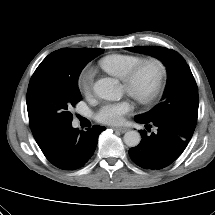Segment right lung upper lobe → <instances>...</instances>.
I'll use <instances>...</instances> for the list:
<instances>
[{"instance_id": "right-lung-upper-lobe-1", "label": "right lung upper lobe", "mask_w": 215, "mask_h": 215, "mask_svg": "<svg viewBox=\"0 0 215 215\" xmlns=\"http://www.w3.org/2000/svg\"><path fill=\"white\" fill-rule=\"evenodd\" d=\"M81 49H89V48H81ZM53 139V138H52ZM51 139H45V140H36L39 147H42L46 145Z\"/></svg>"}]
</instances>
